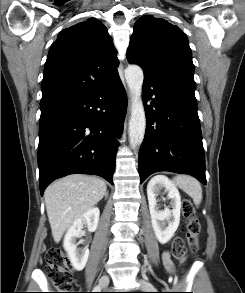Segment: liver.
I'll list each match as a JSON object with an SVG mask.
<instances>
[{"mask_svg": "<svg viewBox=\"0 0 245 293\" xmlns=\"http://www.w3.org/2000/svg\"><path fill=\"white\" fill-rule=\"evenodd\" d=\"M106 190L103 180L81 174L66 176L46 189V211L56 243L76 219L105 196Z\"/></svg>", "mask_w": 245, "mask_h": 293, "instance_id": "liver-1", "label": "liver"}]
</instances>
